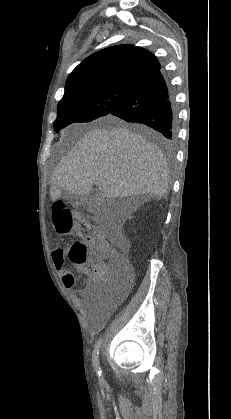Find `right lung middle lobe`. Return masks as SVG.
I'll return each instance as SVG.
<instances>
[{
    "instance_id": "1",
    "label": "right lung middle lobe",
    "mask_w": 231,
    "mask_h": 419,
    "mask_svg": "<svg viewBox=\"0 0 231 419\" xmlns=\"http://www.w3.org/2000/svg\"><path fill=\"white\" fill-rule=\"evenodd\" d=\"M132 86L105 85L78 89L61 99L54 122L59 131L74 122H89L108 115L132 90Z\"/></svg>"
}]
</instances>
